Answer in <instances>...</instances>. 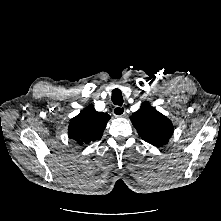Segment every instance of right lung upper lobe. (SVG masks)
<instances>
[{
	"instance_id": "1",
	"label": "right lung upper lobe",
	"mask_w": 221,
	"mask_h": 221,
	"mask_svg": "<svg viewBox=\"0 0 221 221\" xmlns=\"http://www.w3.org/2000/svg\"><path fill=\"white\" fill-rule=\"evenodd\" d=\"M109 119L107 113L97 112L93 105H89L71 120L69 136L80 145L100 139Z\"/></svg>"
}]
</instances>
